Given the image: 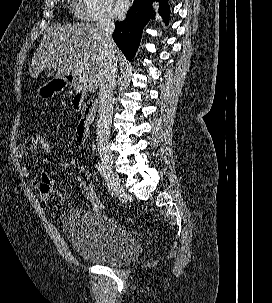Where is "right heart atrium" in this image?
<instances>
[{
  "label": "right heart atrium",
  "instance_id": "d8ad5b80",
  "mask_svg": "<svg viewBox=\"0 0 272 303\" xmlns=\"http://www.w3.org/2000/svg\"><path fill=\"white\" fill-rule=\"evenodd\" d=\"M81 15L96 22H109L112 18L109 0H80Z\"/></svg>",
  "mask_w": 272,
  "mask_h": 303
}]
</instances>
